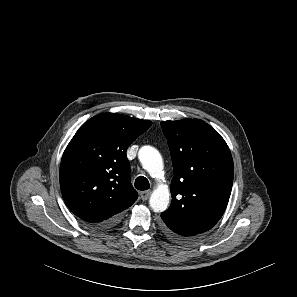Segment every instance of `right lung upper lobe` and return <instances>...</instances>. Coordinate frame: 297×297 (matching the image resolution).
<instances>
[{
  "mask_svg": "<svg viewBox=\"0 0 297 297\" xmlns=\"http://www.w3.org/2000/svg\"><path fill=\"white\" fill-rule=\"evenodd\" d=\"M152 122L122 114H98L85 122L66 147L60 188L69 209L89 224L130 207L138 194L130 182L128 146Z\"/></svg>",
  "mask_w": 297,
  "mask_h": 297,
  "instance_id": "1",
  "label": "right lung upper lobe"
}]
</instances>
